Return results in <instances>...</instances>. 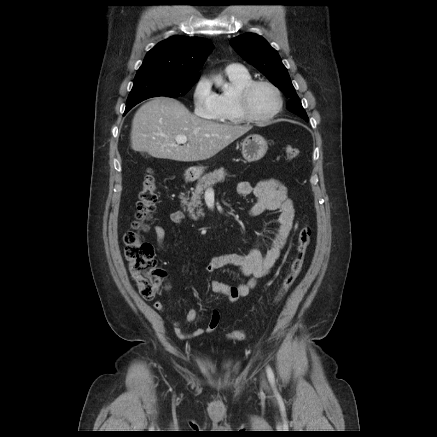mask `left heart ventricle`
<instances>
[{
    "mask_svg": "<svg viewBox=\"0 0 437 437\" xmlns=\"http://www.w3.org/2000/svg\"><path fill=\"white\" fill-rule=\"evenodd\" d=\"M250 106L256 116H268L277 107L276 95L271 88L264 85L258 86L251 95Z\"/></svg>",
    "mask_w": 437,
    "mask_h": 437,
    "instance_id": "left-heart-ventricle-1",
    "label": "left heart ventricle"
}]
</instances>
